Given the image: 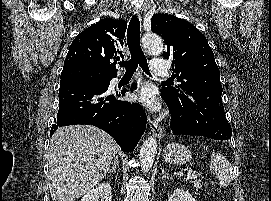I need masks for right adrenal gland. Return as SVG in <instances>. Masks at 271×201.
<instances>
[{
  "instance_id": "obj_1",
  "label": "right adrenal gland",
  "mask_w": 271,
  "mask_h": 201,
  "mask_svg": "<svg viewBox=\"0 0 271 201\" xmlns=\"http://www.w3.org/2000/svg\"><path fill=\"white\" fill-rule=\"evenodd\" d=\"M118 165H119V161H118V159L113 163V166L108 170V172H114V173H116V170H117V167H118Z\"/></svg>"
}]
</instances>
